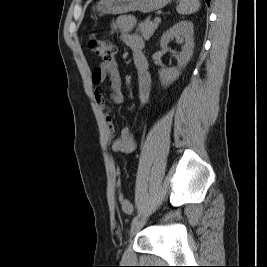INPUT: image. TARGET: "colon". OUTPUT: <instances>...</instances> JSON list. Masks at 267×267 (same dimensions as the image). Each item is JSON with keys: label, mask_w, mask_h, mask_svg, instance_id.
Returning <instances> with one entry per match:
<instances>
[{"label": "colon", "mask_w": 267, "mask_h": 267, "mask_svg": "<svg viewBox=\"0 0 267 267\" xmlns=\"http://www.w3.org/2000/svg\"><path fill=\"white\" fill-rule=\"evenodd\" d=\"M88 46L95 55L102 58L105 62L112 61L116 53V47L112 42L94 34L90 36ZM119 203L124 213L131 214L133 212L132 204L122 194H119Z\"/></svg>", "instance_id": "obj_1"}]
</instances>
